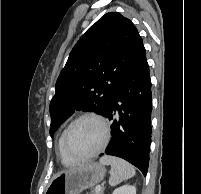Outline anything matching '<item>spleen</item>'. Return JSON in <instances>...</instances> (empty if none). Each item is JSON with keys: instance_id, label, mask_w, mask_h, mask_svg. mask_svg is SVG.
Listing matches in <instances>:
<instances>
[{"instance_id": "obj_1", "label": "spleen", "mask_w": 201, "mask_h": 194, "mask_svg": "<svg viewBox=\"0 0 201 194\" xmlns=\"http://www.w3.org/2000/svg\"><path fill=\"white\" fill-rule=\"evenodd\" d=\"M102 165H111L109 184L116 186L119 183L132 178L135 175L134 167L123 159L104 156L100 158Z\"/></svg>"}]
</instances>
